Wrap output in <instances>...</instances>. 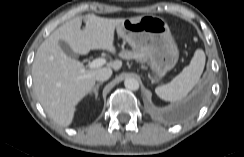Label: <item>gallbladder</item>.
Instances as JSON below:
<instances>
[{"mask_svg": "<svg viewBox=\"0 0 244 157\" xmlns=\"http://www.w3.org/2000/svg\"><path fill=\"white\" fill-rule=\"evenodd\" d=\"M59 45L67 56L72 57V58H77L76 53L73 52V50L70 48V46L65 41H63V40L59 41Z\"/></svg>", "mask_w": 244, "mask_h": 157, "instance_id": "obj_1", "label": "gallbladder"}]
</instances>
